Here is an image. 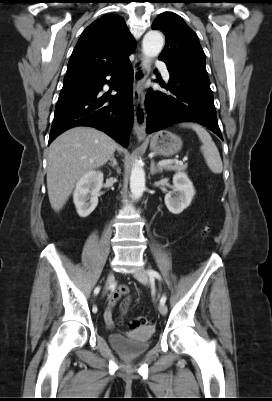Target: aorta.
<instances>
[{"instance_id": "aorta-1", "label": "aorta", "mask_w": 272, "mask_h": 401, "mask_svg": "<svg viewBox=\"0 0 272 401\" xmlns=\"http://www.w3.org/2000/svg\"><path fill=\"white\" fill-rule=\"evenodd\" d=\"M164 46L163 35L158 31H149L142 41V49L145 62L160 54ZM130 190L134 198H140L145 191V172L139 162H136L131 170Z\"/></svg>"}]
</instances>
